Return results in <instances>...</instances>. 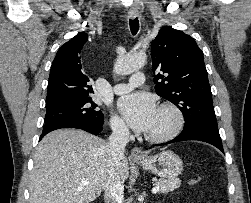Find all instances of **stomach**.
<instances>
[{
    "instance_id": "obj_1",
    "label": "stomach",
    "mask_w": 251,
    "mask_h": 203,
    "mask_svg": "<svg viewBox=\"0 0 251 203\" xmlns=\"http://www.w3.org/2000/svg\"><path fill=\"white\" fill-rule=\"evenodd\" d=\"M136 163L143 169L167 179L177 177L183 170L180 157L169 150L148 156L145 160Z\"/></svg>"
}]
</instances>
